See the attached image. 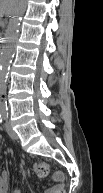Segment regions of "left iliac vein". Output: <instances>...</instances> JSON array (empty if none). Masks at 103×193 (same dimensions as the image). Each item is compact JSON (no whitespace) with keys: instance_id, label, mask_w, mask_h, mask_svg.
<instances>
[{"instance_id":"1","label":"left iliac vein","mask_w":103,"mask_h":193,"mask_svg":"<svg viewBox=\"0 0 103 193\" xmlns=\"http://www.w3.org/2000/svg\"><path fill=\"white\" fill-rule=\"evenodd\" d=\"M6 130L8 135L12 138V139H18V135L16 134V132L12 129V126L9 122L6 123Z\"/></svg>"}]
</instances>
